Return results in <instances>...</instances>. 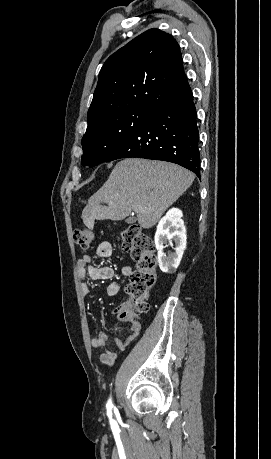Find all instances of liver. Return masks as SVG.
<instances>
[{
  "instance_id": "6515ba94",
  "label": "liver",
  "mask_w": 271,
  "mask_h": 459,
  "mask_svg": "<svg viewBox=\"0 0 271 459\" xmlns=\"http://www.w3.org/2000/svg\"><path fill=\"white\" fill-rule=\"evenodd\" d=\"M194 178L192 172L176 164L125 158L89 198L82 220L86 228L93 229L95 220H124L133 210L142 228H152L192 186ZM101 202L108 206H100Z\"/></svg>"
}]
</instances>
